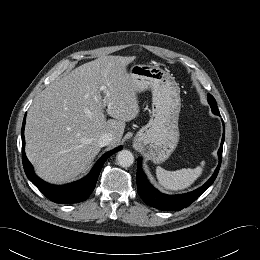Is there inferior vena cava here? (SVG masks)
Masks as SVG:
<instances>
[{"label":"inferior vena cava","mask_w":260,"mask_h":260,"mask_svg":"<svg viewBox=\"0 0 260 260\" xmlns=\"http://www.w3.org/2000/svg\"><path fill=\"white\" fill-rule=\"evenodd\" d=\"M113 140V135L111 133H104L98 139V144L100 147L107 146Z\"/></svg>","instance_id":"1"}]
</instances>
